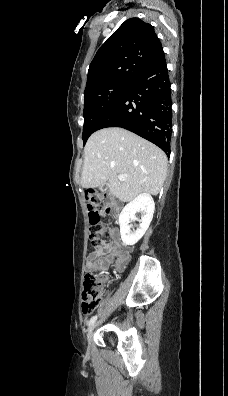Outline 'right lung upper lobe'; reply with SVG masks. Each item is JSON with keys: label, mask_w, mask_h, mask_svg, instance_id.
<instances>
[{"label": "right lung upper lobe", "mask_w": 228, "mask_h": 396, "mask_svg": "<svg viewBox=\"0 0 228 396\" xmlns=\"http://www.w3.org/2000/svg\"><path fill=\"white\" fill-rule=\"evenodd\" d=\"M161 50L153 26L139 18L126 20L96 53L84 93L110 83H131Z\"/></svg>", "instance_id": "obj_1"}]
</instances>
